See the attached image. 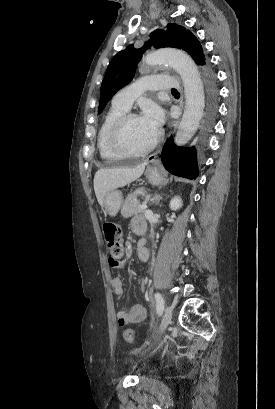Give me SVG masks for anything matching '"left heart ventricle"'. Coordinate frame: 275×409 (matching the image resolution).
<instances>
[{
  "label": "left heart ventricle",
  "mask_w": 275,
  "mask_h": 409,
  "mask_svg": "<svg viewBox=\"0 0 275 409\" xmlns=\"http://www.w3.org/2000/svg\"><path fill=\"white\" fill-rule=\"evenodd\" d=\"M155 135L156 133L148 127L143 118H138L128 124L124 141L129 148L142 149L154 139Z\"/></svg>",
  "instance_id": "1"
}]
</instances>
